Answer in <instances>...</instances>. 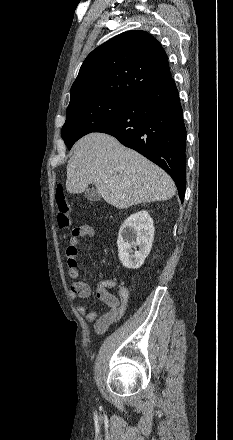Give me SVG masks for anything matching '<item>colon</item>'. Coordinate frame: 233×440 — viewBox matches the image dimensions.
Segmentation results:
<instances>
[{
	"label": "colon",
	"mask_w": 233,
	"mask_h": 440,
	"mask_svg": "<svg viewBox=\"0 0 233 440\" xmlns=\"http://www.w3.org/2000/svg\"><path fill=\"white\" fill-rule=\"evenodd\" d=\"M55 202L57 207V224L61 229L70 227V208L62 183H59L55 189Z\"/></svg>",
	"instance_id": "5ec220e1"
}]
</instances>
